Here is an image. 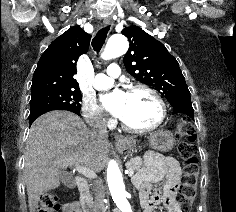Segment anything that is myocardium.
Masks as SVG:
<instances>
[{
    "mask_svg": "<svg viewBox=\"0 0 236 212\" xmlns=\"http://www.w3.org/2000/svg\"><path fill=\"white\" fill-rule=\"evenodd\" d=\"M134 91H145L156 100V102L159 105V109H160L159 117L152 125H150L148 127H144V128L131 127L126 122H124L121 118L119 119L120 124L125 131H127L129 133H133V134H144V133L154 131L163 123V121L166 118V115H167L166 103H165L164 99L162 98V96L155 89H153L152 87H150L146 84H141V83L133 84L128 88L127 93H132Z\"/></svg>",
    "mask_w": 236,
    "mask_h": 212,
    "instance_id": "myocardium-1",
    "label": "myocardium"
}]
</instances>
